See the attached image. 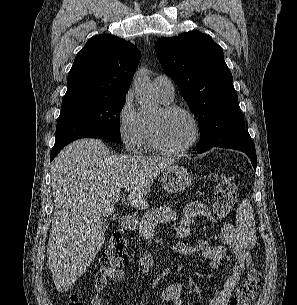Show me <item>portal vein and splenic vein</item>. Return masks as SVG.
<instances>
[{
  "label": "portal vein and splenic vein",
  "instance_id": "obj_1",
  "mask_svg": "<svg viewBox=\"0 0 297 305\" xmlns=\"http://www.w3.org/2000/svg\"><path fill=\"white\" fill-rule=\"evenodd\" d=\"M120 199H121V194H116V195L114 196V201H115V202H118Z\"/></svg>",
  "mask_w": 297,
  "mask_h": 305
}]
</instances>
